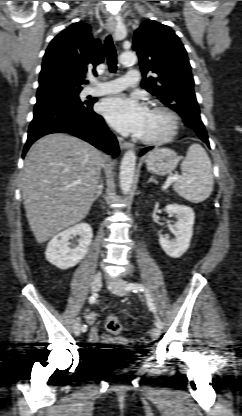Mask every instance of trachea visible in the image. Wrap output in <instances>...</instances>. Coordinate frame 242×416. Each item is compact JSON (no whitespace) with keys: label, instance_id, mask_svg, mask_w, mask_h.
I'll return each instance as SVG.
<instances>
[{"label":"trachea","instance_id":"3493384b","mask_svg":"<svg viewBox=\"0 0 242 416\" xmlns=\"http://www.w3.org/2000/svg\"><path fill=\"white\" fill-rule=\"evenodd\" d=\"M105 49L109 71L115 73L117 71V53L110 35L105 39Z\"/></svg>","mask_w":242,"mask_h":416}]
</instances>
